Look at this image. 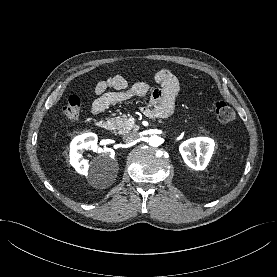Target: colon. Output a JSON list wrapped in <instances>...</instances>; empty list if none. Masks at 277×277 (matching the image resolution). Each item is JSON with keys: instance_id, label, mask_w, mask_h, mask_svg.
I'll return each instance as SVG.
<instances>
[{"instance_id": "5ec220e1", "label": "colon", "mask_w": 277, "mask_h": 277, "mask_svg": "<svg viewBox=\"0 0 277 277\" xmlns=\"http://www.w3.org/2000/svg\"><path fill=\"white\" fill-rule=\"evenodd\" d=\"M81 100L77 95H71L66 104L63 106L62 111L68 119H77L80 115ZM214 113L220 123L227 124L234 119L233 109L225 101H217L214 105Z\"/></svg>"}]
</instances>
